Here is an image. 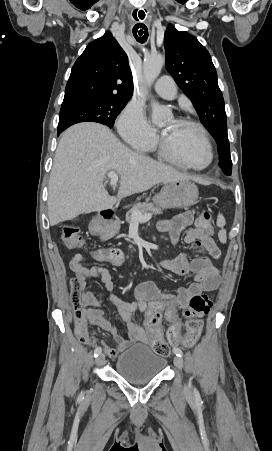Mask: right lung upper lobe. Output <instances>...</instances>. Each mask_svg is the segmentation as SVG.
Wrapping results in <instances>:
<instances>
[{
    "mask_svg": "<svg viewBox=\"0 0 272 451\" xmlns=\"http://www.w3.org/2000/svg\"><path fill=\"white\" fill-rule=\"evenodd\" d=\"M133 82L128 57L111 33L89 43L73 65L64 101L81 97L130 100Z\"/></svg>",
    "mask_w": 272,
    "mask_h": 451,
    "instance_id": "obj_1",
    "label": "right lung upper lobe"
}]
</instances>
